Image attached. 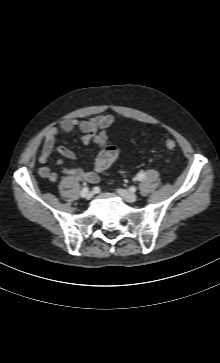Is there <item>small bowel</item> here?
Instances as JSON below:
<instances>
[{
  "label": "small bowel",
  "instance_id": "obj_1",
  "mask_svg": "<svg viewBox=\"0 0 220 363\" xmlns=\"http://www.w3.org/2000/svg\"><path fill=\"white\" fill-rule=\"evenodd\" d=\"M115 123L112 115H97L89 119H67L58 126L51 127L45 134L44 143L38 156L40 163L45 164L53 153H58L64 158L75 161V153L65 147L56 145V136L59 132L69 133L75 128L81 132V140L85 144L94 145L97 153L94 162V170H84L79 166L73 165L63 169V173L74 180H85L95 183L100 180V173L107 167L103 166V152L109 139L108 128ZM61 163V161H59ZM40 177L51 182L58 180V175L47 166H42L38 170Z\"/></svg>",
  "mask_w": 220,
  "mask_h": 363
}]
</instances>
